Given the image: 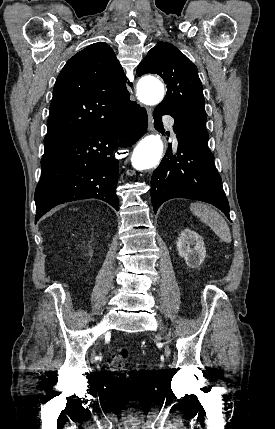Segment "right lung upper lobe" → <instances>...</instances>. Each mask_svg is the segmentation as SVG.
I'll list each match as a JSON object with an SVG mask.
<instances>
[{"label": "right lung upper lobe", "instance_id": "cb5924a9", "mask_svg": "<svg viewBox=\"0 0 275 429\" xmlns=\"http://www.w3.org/2000/svg\"><path fill=\"white\" fill-rule=\"evenodd\" d=\"M126 77L112 48L94 43L74 55L57 77L44 144L109 125L128 112Z\"/></svg>", "mask_w": 275, "mask_h": 429}]
</instances>
